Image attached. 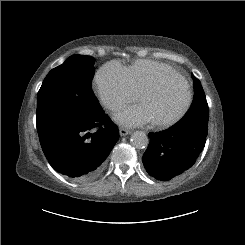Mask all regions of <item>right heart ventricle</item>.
<instances>
[{
    "label": "right heart ventricle",
    "mask_w": 245,
    "mask_h": 245,
    "mask_svg": "<svg viewBox=\"0 0 245 245\" xmlns=\"http://www.w3.org/2000/svg\"><path fill=\"white\" fill-rule=\"evenodd\" d=\"M126 69L131 84L139 94L144 88L153 83L159 74L174 68L166 63L141 59L136 60Z\"/></svg>",
    "instance_id": "right-heart-ventricle-1"
}]
</instances>
